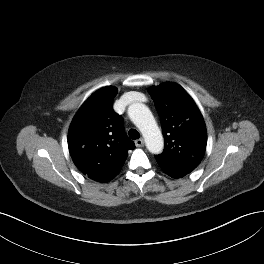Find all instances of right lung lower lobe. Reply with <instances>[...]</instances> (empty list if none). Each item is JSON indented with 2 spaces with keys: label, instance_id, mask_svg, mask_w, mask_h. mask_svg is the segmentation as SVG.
Wrapping results in <instances>:
<instances>
[{
  "label": "right lung lower lobe",
  "instance_id": "98d812e1",
  "mask_svg": "<svg viewBox=\"0 0 264 264\" xmlns=\"http://www.w3.org/2000/svg\"><path fill=\"white\" fill-rule=\"evenodd\" d=\"M88 176L89 178L97 181V182H101V183H105V182H108L106 178H102L100 175L98 174H88L86 175ZM110 181V180H109Z\"/></svg>",
  "mask_w": 264,
  "mask_h": 264
}]
</instances>
